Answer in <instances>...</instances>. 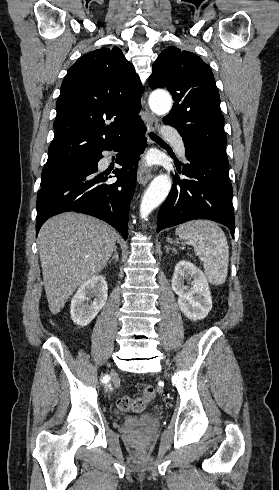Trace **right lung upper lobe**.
Here are the masks:
<instances>
[{"instance_id": "right-lung-upper-lobe-1", "label": "right lung upper lobe", "mask_w": 279, "mask_h": 490, "mask_svg": "<svg viewBox=\"0 0 279 490\" xmlns=\"http://www.w3.org/2000/svg\"><path fill=\"white\" fill-rule=\"evenodd\" d=\"M143 90L133 65L118 47L80 57L61 85L46 164L87 159L144 126L138 116ZM108 120L113 122L107 125Z\"/></svg>"}]
</instances>
